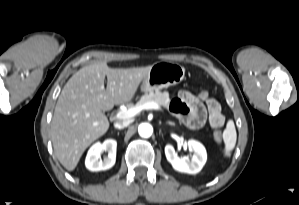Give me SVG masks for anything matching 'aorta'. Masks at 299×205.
<instances>
[{"mask_svg":"<svg viewBox=\"0 0 299 205\" xmlns=\"http://www.w3.org/2000/svg\"><path fill=\"white\" fill-rule=\"evenodd\" d=\"M138 133L143 138H148L153 133V127L149 123H142L138 127Z\"/></svg>","mask_w":299,"mask_h":205,"instance_id":"762f6f07","label":"aorta"}]
</instances>
